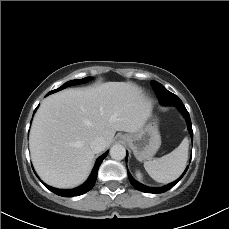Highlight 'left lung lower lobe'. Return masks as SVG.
<instances>
[{"mask_svg":"<svg viewBox=\"0 0 229 229\" xmlns=\"http://www.w3.org/2000/svg\"><path fill=\"white\" fill-rule=\"evenodd\" d=\"M176 106L179 108V110L181 111V113L185 117V119L187 121V125H188V130H189L191 136H193V131H192V127H191V120H190V116H189L188 111L186 110V108L183 105V103H180L179 105H176ZM192 140H193V137H192ZM126 159H127V154H126ZM187 169H188V167L186 168V170L184 171V173L181 175V177H179L176 181H174V182H172V183H170V184H168L166 186L160 187V188H152V187H147L145 185H142L139 182H137L131 176V174L129 173V171H127V172H128V177H129V180H130L131 184L137 190L142 191V192H146V193H163V192H166L169 189H171L183 177V175L186 173Z\"/></svg>","mask_w":229,"mask_h":229,"instance_id":"obj_1","label":"left lung lower lobe"}]
</instances>
